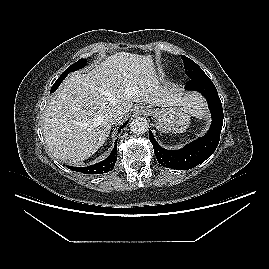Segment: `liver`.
I'll list each match as a JSON object with an SVG mask.
<instances>
[{
	"label": "liver",
	"instance_id": "liver-1",
	"mask_svg": "<svg viewBox=\"0 0 269 269\" xmlns=\"http://www.w3.org/2000/svg\"><path fill=\"white\" fill-rule=\"evenodd\" d=\"M133 102L182 107L202 117L204 99L159 85L149 56L118 52L98 62L87 74H70L50 98L43 135L52 155L69 164L86 160L107 140L114 108L133 111Z\"/></svg>",
	"mask_w": 269,
	"mask_h": 269
}]
</instances>
